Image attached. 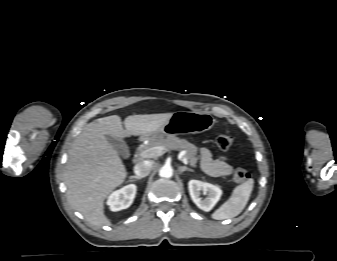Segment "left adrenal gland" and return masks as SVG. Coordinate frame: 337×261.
Segmentation results:
<instances>
[{
    "label": "left adrenal gland",
    "instance_id": "left-adrenal-gland-1",
    "mask_svg": "<svg viewBox=\"0 0 337 261\" xmlns=\"http://www.w3.org/2000/svg\"><path fill=\"white\" fill-rule=\"evenodd\" d=\"M180 172H184V171H191L193 172V170L191 168L185 167V166H180L179 167Z\"/></svg>",
    "mask_w": 337,
    "mask_h": 261
}]
</instances>
